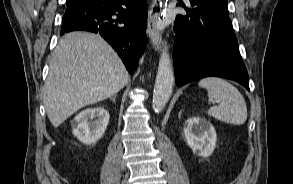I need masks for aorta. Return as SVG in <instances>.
I'll return each mask as SVG.
<instances>
[{
	"label": "aorta",
	"instance_id": "obj_1",
	"mask_svg": "<svg viewBox=\"0 0 293 184\" xmlns=\"http://www.w3.org/2000/svg\"><path fill=\"white\" fill-rule=\"evenodd\" d=\"M174 85V71L168 47L165 46L159 59V66L153 93V109L160 112L169 101Z\"/></svg>",
	"mask_w": 293,
	"mask_h": 184
}]
</instances>
